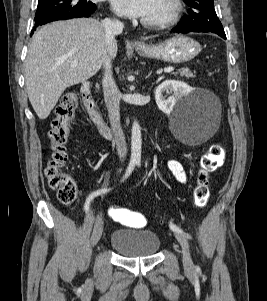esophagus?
<instances>
[{"mask_svg":"<svg viewBox=\"0 0 267 301\" xmlns=\"http://www.w3.org/2000/svg\"><path fill=\"white\" fill-rule=\"evenodd\" d=\"M132 44H133L134 46H136V47H139V46H142V45H143V43H142L141 41H139V40H133V41H132Z\"/></svg>","mask_w":267,"mask_h":301,"instance_id":"1","label":"esophagus"}]
</instances>
